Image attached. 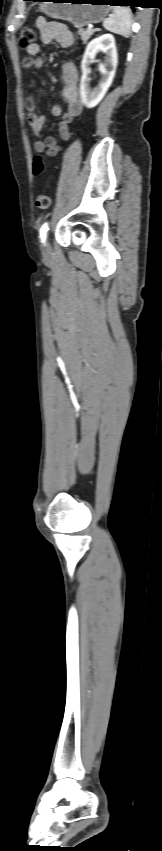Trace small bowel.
Segmentation results:
<instances>
[{
	"instance_id": "1",
	"label": "small bowel",
	"mask_w": 162,
	"mask_h": 851,
	"mask_svg": "<svg viewBox=\"0 0 162 851\" xmlns=\"http://www.w3.org/2000/svg\"><path fill=\"white\" fill-rule=\"evenodd\" d=\"M37 27L41 34V41L45 44L57 42L61 47L68 48L74 43V37L71 31L62 23L55 21H47L40 17L36 21ZM27 53L34 58H26L23 62L25 68L40 69L44 66L45 60L39 56L40 45L33 44L28 47ZM63 89L62 97L66 104V110L63 111L61 105L54 104L51 107L53 116L60 117L58 123V132L63 143L69 141L71 136V126L75 119L82 113L83 104L79 97L78 91V72L72 63H65L62 67ZM25 107L28 111V123L32 133L35 136H40L45 118L36 111V101L33 97H28L25 101ZM63 145L59 144L53 136H48L43 139H38L34 143L36 152H45L48 156L54 157L60 153Z\"/></svg>"
}]
</instances>
